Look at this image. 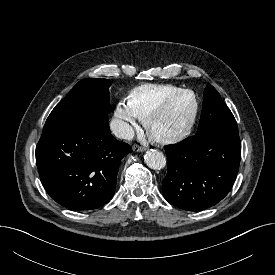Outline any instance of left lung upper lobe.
<instances>
[{
  "instance_id": "1",
  "label": "left lung upper lobe",
  "mask_w": 275,
  "mask_h": 275,
  "mask_svg": "<svg viewBox=\"0 0 275 275\" xmlns=\"http://www.w3.org/2000/svg\"><path fill=\"white\" fill-rule=\"evenodd\" d=\"M195 135L197 137L239 136L232 112L212 85H208L204 91L201 118Z\"/></svg>"
}]
</instances>
